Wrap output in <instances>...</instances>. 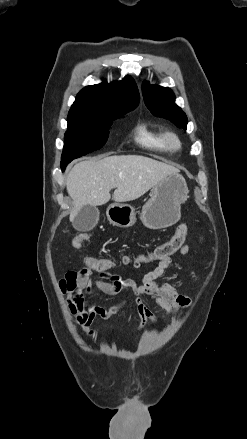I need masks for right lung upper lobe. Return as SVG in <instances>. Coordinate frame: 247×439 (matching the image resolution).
<instances>
[{
	"instance_id": "1",
	"label": "right lung upper lobe",
	"mask_w": 247,
	"mask_h": 439,
	"mask_svg": "<svg viewBox=\"0 0 247 439\" xmlns=\"http://www.w3.org/2000/svg\"><path fill=\"white\" fill-rule=\"evenodd\" d=\"M139 92L131 76L122 81L87 86L77 95L69 114H114L138 106Z\"/></svg>"
}]
</instances>
